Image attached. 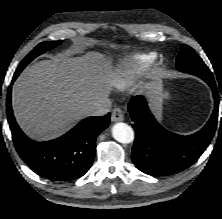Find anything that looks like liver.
Masks as SVG:
<instances>
[{
    "mask_svg": "<svg viewBox=\"0 0 222 219\" xmlns=\"http://www.w3.org/2000/svg\"><path fill=\"white\" fill-rule=\"evenodd\" d=\"M109 63L98 52L77 57H55L27 67L13 85L12 106L16 120L30 137L56 138L88 110L108 99L112 81ZM149 94L154 90L146 86Z\"/></svg>",
    "mask_w": 222,
    "mask_h": 219,
    "instance_id": "6515ba94",
    "label": "liver"
}]
</instances>
